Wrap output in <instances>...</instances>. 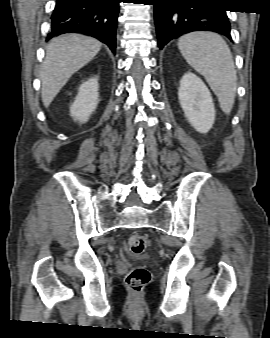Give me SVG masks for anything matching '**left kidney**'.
Returning <instances> with one entry per match:
<instances>
[{
  "instance_id": "left-kidney-1",
  "label": "left kidney",
  "mask_w": 270,
  "mask_h": 338,
  "mask_svg": "<svg viewBox=\"0 0 270 338\" xmlns=\"http://www.w3.org/2000/svg\"><path fill=\"white\" fill-rule=\"evenodd\" d=\"M178 98L193 128L200 133H207L215 121V107L205 83L195 74L185 73L180 80Z\"/></svg>"
}]
</instances>
